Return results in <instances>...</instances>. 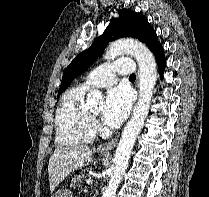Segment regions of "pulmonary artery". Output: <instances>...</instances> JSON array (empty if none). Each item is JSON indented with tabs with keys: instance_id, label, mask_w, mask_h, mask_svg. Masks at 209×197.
I'll list each match as a JSON object with an SVG mask.
<instances>
[{
	"instance_id": "1",
	"label": "pulmonary artery",
	"mask_w": 209,
	"mask_h": 197,
	"mask_svg": "<svg viewBox=\"0 0 209 197\" xmlns=\"http://www.w3.org/2000/svg\"><path fill=\"white\" fill-rule=\"evenodd\" d=\"M134 70V64L130 58H120L94 69L85 77L81 85L85 88L109 87L116 83L117 74H130Z\"/></svg>"
}]
</instances>
